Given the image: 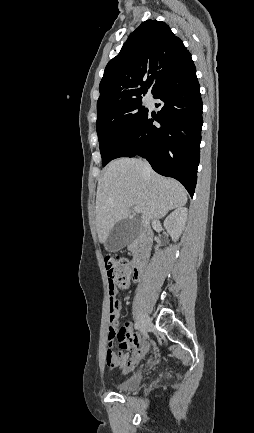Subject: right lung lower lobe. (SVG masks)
<instances>
[{"instance_id":"98d812e1","label":"right lung lower lobe","mask_w":254,"mask_h":433,"mask_svg":"<svg viewBox=\"0 0 254 433\" xmlns=\"http://www.w3.org/2000/svg\"><path fill=\"white\" fill-rule=\"evenodd\" d=\"M161 110L143 117L115 158H146L159 174L180 181L191 197L200 159L202 100L195 65L190 58L154 93ZM157 121L159 125H154Z\"/></svg>"}]
</instances>
